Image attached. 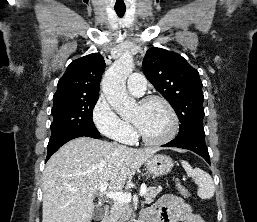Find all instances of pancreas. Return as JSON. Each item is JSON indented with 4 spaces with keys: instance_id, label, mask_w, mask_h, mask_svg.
I'll return each instance as SVG.
<instances>
[{
    "instance_id": "1",
    "label": "pancreas",
    "mask_w": 257,
    "mask_h": 222,
    "mask_svg": "<svg viewBox=\"0 0 257 222\" xmlns=\"http://www.w3.org/2000/svg\"><path fill=\"white\" fill-rule=\"evenodd\" d=\"M161 189L156 187L146 188L144 195L145 203L150 204L160 193ZM132 208L129 204L115 202L111 208L108 222H125L131 219Z\"/></svg>"
}]
</instances>
